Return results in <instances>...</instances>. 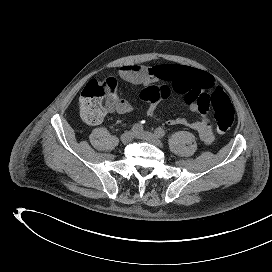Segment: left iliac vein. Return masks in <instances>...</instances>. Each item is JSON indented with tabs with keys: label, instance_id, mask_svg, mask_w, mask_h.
<instances>
[{
	"label": "left iliac vein",
	"instance_id": "left-iliac-vein-1",
	"mask_svg": "<svg viewBox=\"0 0 272 272\" xmlns=\"http://www.w3.org/2000/svg\"><path fill=\"white\" fill-rule=\"evenodd\" d=\"M136 137L139 139L145 140L157 147H160V148L163 147V143L159 139V137L151 132H139V133H136Z\"/></svg>",
	"mask_w": 272,
	"mask_h": 272
}]
</instances>
